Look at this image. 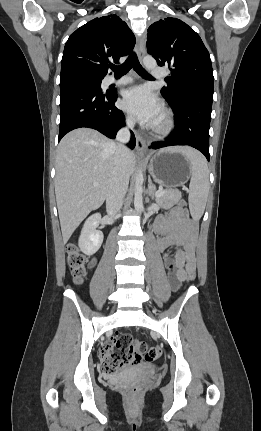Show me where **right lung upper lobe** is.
<instances>
[{
  "label": "right lung upper lobe",
  "mask_w": 261,
  "mask_h": 431,
  "mask_svg": "<svg viewBox=\"0 0 261 431\" xmlns=\"http://www.w3.org/2000/svg\"><path fill=\"white\" fill-rule=\"evenodd\" d=\"M135 45V37L117 15L95 18L73 32L65 44L61 73L82 70L104 77Z\"/></svg>",
  "instance_id": "cb5924a9"
}]
</instances>
